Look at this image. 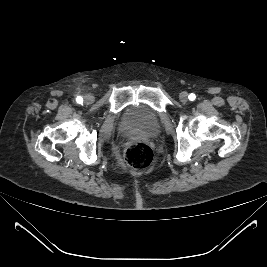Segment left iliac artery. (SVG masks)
Returning <instances> with one entry per match:
<instances>
[{"label":"left iliac artery","mask_w":267,"mask_h":267,"mask_svg":"<svg viewBox=\"0 0 267 267\" xmlns=\"http://www.w3.org/2000/svg\"><path fill=\"white\" fill-rule=\"evenodd\" d=\"M195 98H196L195 94L191 93V94L189 95V99H190L191 101L195 100Z\"/></svg>","instance_id":"1"}]
</instances>
